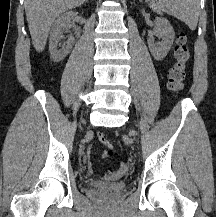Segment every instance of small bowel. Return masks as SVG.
<instances>
[{"label": "small bowel", "mask_w": 216, "mask_h": 217, "mask_svg": "<svg viewBox=\"0 0 216 217\" xmlns=\"http://www.w3.org/2000/svg\"><path fill=\"white\" fill-rule=\"evenodd\" d=\"M86 163H87V166H88L89 170L92 171L93 170V163H92V158H91V152L90 151H88L87 154H86ZM119 173H120V169L117 172L110 173V174L106 175L104 177V179L106 181H112V180L116 179V177L118 176Z\"/></svg>", "instance_id": "c3829d8e"}]
</instances>
